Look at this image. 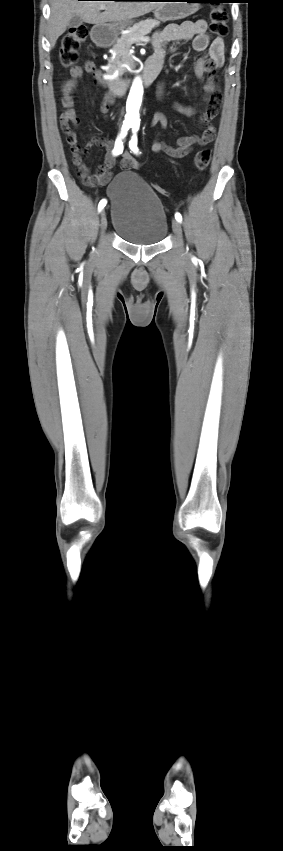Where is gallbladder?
<instances>
[{
	"instance_id": "1",
	"label": "gallbladder",
	"mask_w": 283,
	"mask_h": 851,
	"mask_svg": "<svg viewBox=\"0 0 283 851\" xmlns=\"http://www.w3.org/2000/svg\"><path fill=\"white\" fill-rule=\"evenodd\" d=\"M82 23H83V20L80 17L74 16L69 21L68 27L69 28H76V27L80 26Z\"/></svg>"
}]
</instances>
